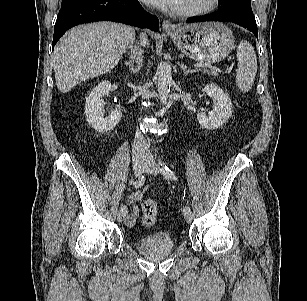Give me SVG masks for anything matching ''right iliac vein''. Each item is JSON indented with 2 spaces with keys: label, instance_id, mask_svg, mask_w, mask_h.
I'll list each match as a JSON object with an SVG mask.
<instances>
[{
  "label": "right iliac vein",
  "instance_id": "63e3f726",
  "mask_svg": "<svg viewBox=\"0 0 307 301\" xmlns=\"http://www.w3.org/2000/svg\"><path fill=\"white\" fill-rule=\"evenodd\" d=\"M133 163V170L136 176H140L145 168V161L142 155L136 156L132 160ZM126 213L122 210H119L117 213V220L122 222L125 219Z\"/></svg>",
  "mask_w": 307,
  "mask_h": 301
}]
</instances>
